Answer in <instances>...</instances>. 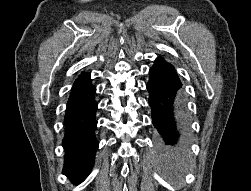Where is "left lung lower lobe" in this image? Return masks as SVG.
<instances>
[{
	"label": "left lung lower lobe",
	"instance_id": "left-lung-lower-lobe-1",
	"mask_svg": "<svg viewBox=\"0 0 251 191\" xmlns=\"http://www.w3.org/2000/svg\"><path fill=\"white\" fill-rule=\"evenodd\" d=\"M147 83L152 122L157 129L158 149L165 156H177L187 151L185 100L182 83L175 68L162 57L149 70Z\"/></svg>",
	"mask_w": 251,
	"mask_h": 191
}]
</instances>
